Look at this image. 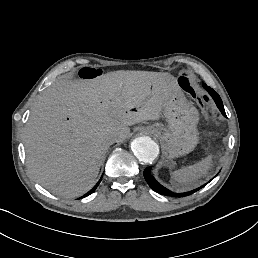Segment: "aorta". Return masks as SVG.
<instances>
[{
  "mask_svg": "<svg viewBox=\"0 0 258 258\" xmlns=\"http://www.w3.org/2000/svg\"><path fill=\"white\" fill-rule=\"evenodd\" d=\"M131 150L139 161L151 163L159 154L158 144L148 136H140L131 142Z\"/></svg>",
  "mask_w": 258,
  "mask_h": 258,
  "instance_id": "aorta-1",
  "label": "aorta"
}]
</instances>
